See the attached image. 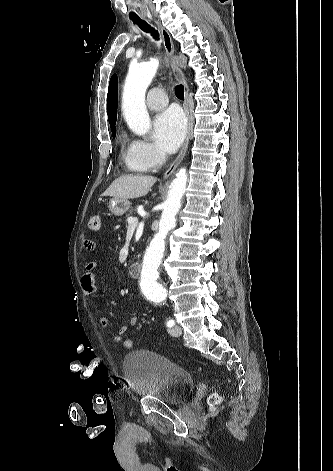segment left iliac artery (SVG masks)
<instances>
[{
  "instance_id": "1",
  "label": "left iliac artery",
  "mask_w": 333,
  "mask_h": 471,
  "mask_svg": "<svg viewBox=\"0 0 333 471\" xmlns=\"http://www.w3.org/2000/svg\"><path fill=\"white\" fill-rule=\"evenodd\" d=\"M166 324H167L168 327H172V326H174L175 322H174V320L169 319Z\"/></svg>"
}]
</instances>
